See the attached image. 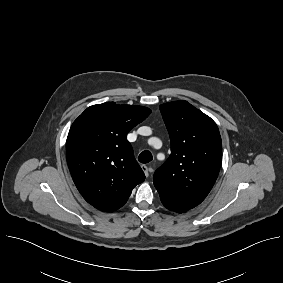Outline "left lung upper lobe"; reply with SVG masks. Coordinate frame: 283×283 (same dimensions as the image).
Listing matches in <instances>:
<instances>
[{
  "label": "left lung upper lobe",
  "instance_id": "obj_1",
  "mask_svg": "<svg viewBox=\"0 0 283 283\" xmlns=\"http://www.w3.org/2000/svg\"><path fill=\"white\" fill-rule=\"evenodd\" d=\"M171 154L154 174L163 205L181 213L199 205L212 189L221 165L222 141L216 123L187 101L160 105Z\"/></svg>",
  "mask_w": 283,
  "mask_h": 283
}]
</instances>
